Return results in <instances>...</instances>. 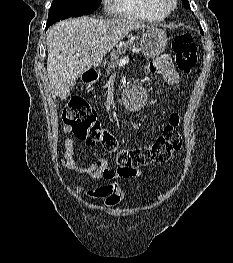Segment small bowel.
Here are the masks:
<instances>
[{
  "mask_svg": "<svg viewBox=\"0 0 233 263\" xmlns=\"http://www.w3.org/2000/svg\"><path fill=\"white\" fill-rule=\"evenodd\" d=\"M145 72L149 74H161L164 80L171 85H177L180 82L179 74L176 72L169 55H162L149 63L145 68ZM70 132L71 130L68 127L64 128L65 134ZM73 148L74 141L70 138L66 139L62 155V164L66 168L79 174H87L94 180L111 181L106 185L87 191V196L92 199L102 200L107 207L118 204L124 196V190L115 180L131 177V175L121 174L117 168L111 167L105 160H99L93 166L78 170L73 160Z\"/></svg>",
  "mask_w": 233,
  "mask_h": 263,
  "instance_id": "obj_1",
  "label": "small bowel"
}]
</instances>
